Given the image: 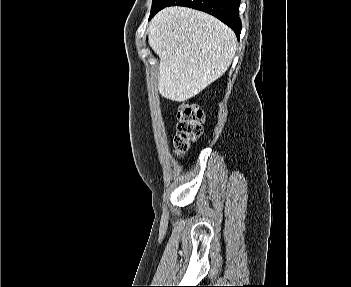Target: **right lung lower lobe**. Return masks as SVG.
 Listing matches in <instances>:
<instances>
[{
  "label": "right lung lower lobe",
  "mask_w": 351,
  "mask_h": 287,
  "mask_svg": "<svg viewBox=\"0 0 351 287\" xmlns=\"http://www.w3.org/2000/svg\"><path fill=\"white\" fill-rule=\"evenodd\" d=\"M240 0H161L151 11L150 19L161 9L167 6H185L211 14L230 26L237 38L241 32L239 18Z\"/></svg>",
  "instance_id": "right-lung-lower-lobe-1"
}]
</instances>
